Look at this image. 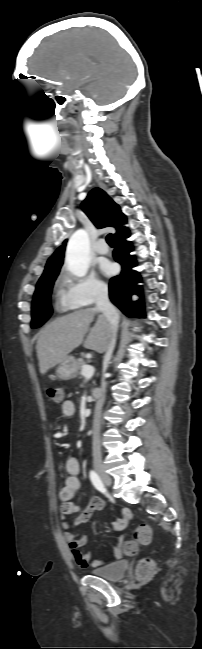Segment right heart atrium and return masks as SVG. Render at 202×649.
<instances>
[{
	"label": "right heart atrium",
	"mask_w": 202,
	"mask_h": 649,
	"mask_svg": "<svg viewBox=\"0 0 202 649\" xmlns=\"http://www.w3.org/2000/svg\"><path fill=\"white\" fill-rule=\"evenodd\" d=\"M60 280L59 306L65 310L90 306L107 293V285L93 274L79 277L64 272Z\"/></svg>",
	"instance_id": "right-heart-atrium-1"
}]
</instances>
